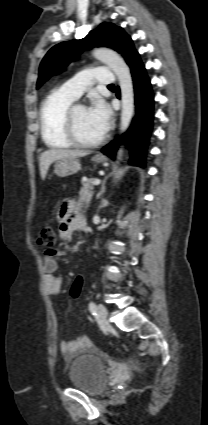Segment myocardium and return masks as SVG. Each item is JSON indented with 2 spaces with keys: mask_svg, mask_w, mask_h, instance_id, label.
<instances>
[{
  "mask_svg": "<svg viewBox=\"0 0 208 425\" xmlns=\"http://www.w3.org/2000/svg\"><path fill=\"white\" fill-rule=\"evenodd\" d=\"M78 108H85V106L82 105V104H72L67 109L65 116H64L65 133H66L68 140L71 142V144L73 146L78 147V148H94V147L101 145L103 143L104 139H105L103 135L98 140H95V141H92V142L82 141L78 137V135L76 133L75 121H74V114H75V111Z\"/></svg>",
  "mask_w": 208,
  "mask_h": 425,
  "instance_id": "1",
  "label": "myocardium"
}]
</instances>
